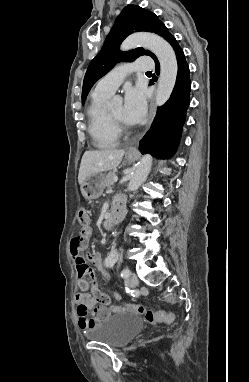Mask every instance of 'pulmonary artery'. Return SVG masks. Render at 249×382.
I'll list each match as a JSON object with an SVG mask.
<instances>
[{
	"instance_id": "pulmonary-artery-1",
	"label": "pulmonary artery",
	"mask_w": 249,
	"mask_h": 382,
	"mask_svg": "<svg viewBox=\"0 0 249 382\" xmlns=\"http://www.w3.org/2000/svg\"><path fill=\"white\" fill-rule=\"evenodd\" d=\"M152 68L153 62L148 57H140L133 62L119 64L97 83L95 90L112 95L129 73L147 71Z\"/></svg>"
}]
</instances>
